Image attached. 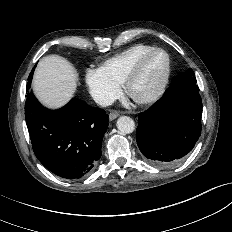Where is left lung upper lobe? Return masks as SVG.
I'll return each mask as SVG.
<instances>
[{
	"label": "left lung upper lobe",
	"instance_id": "5c2ea615",
	"mask_svg": "<svg viewBox=\"0 0 232 232\" xmlns=\"http://www.w3.org/2000/svg\"><path fill=\"white\" fill-rule=\"evenodd\" d=\"M176 78L180 83L181 87L198 89V86L196 85L197 81L192 69L180 73L179 75L176 76Z\"/></svg>",
	"mask_w": 232,
	"mask_h": 232
}]
</instances>
